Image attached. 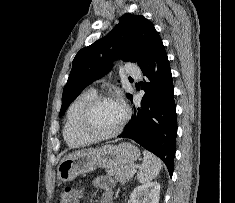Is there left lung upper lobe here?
I'll return each mask as SVG.
<instances>
[{"label": "left lung upper lobe", "instance_id": "5c2ea615", "mask_svg": "<svg viewBox=\"0 0 235 203\" xmlns=\"http://www.w3.org/2000/svg\"><path fill=\"white\" fill-rule=\"evenodd\" d=\"M160 39L153 24L144 16L124 14L110 33L75 56L63 89L59 116L86 86L111 70L113 61L121 58L137 62L141 67ZM126 96L130 98L132 95Z\"/></svg>", "mask_w": 235, "mask_h": 203}]
</instances>
